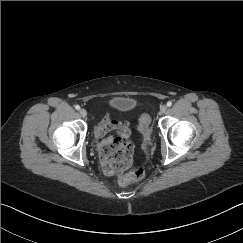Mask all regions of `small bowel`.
Masks as SVG:
<instances>
[{"label":"small bowel","mask_w":243,"mask_h":243,"mask_svg":"<svg viewBox=\"0 0 243 243\" xmlns=\"http://www.w3.org/2000/svg\"><path fill=\"white\" fill-rule=\"evenodd\" d=\"M110 133L116 134V137H108ZM94 135L98 140L97 152L103 173L109 177L122 176L132 162L129 123L106 114L95 127Z\"/></svg>","instance_id":"obj_1"}]
</instances>
